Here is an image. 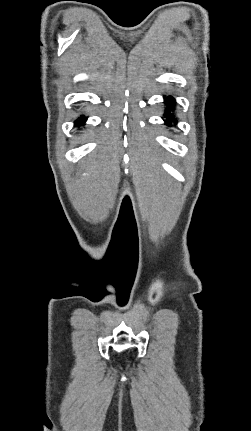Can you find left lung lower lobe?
Returning <instances> with one entry per match:
<instances>
[{"instance_id":"obj_1","label":"left lung lower lobe","mask_w":251,"mask_h":431,"mask_svg":"<svg viewBox=\"0 0 251 431\" xmlns=\"http://www.w3.org/2000/svg\"><path fill=\"white\" fill-rule=\"evenodd\" d=\"M165 103L167 104V107H168L164 115V117L166 118L165 123L169 126H172V122H174L175 124L177 123V120H175L173 117V114H171V111L173 110V106L175 105V101L173 97L168 96L167 98L165 97Z\"/></svg>"}]
</instances>
